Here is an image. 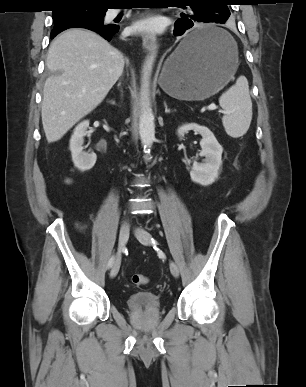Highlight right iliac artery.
Masks as SVG:
<instances>
[{
    "mask_svg": "<svg viewBox=\"0 0 306 387\" xmlns=\"http://www.w3.org/2000/svg\"><path fill=\"white\" fill-rule=\"evenodd\" d=\"M113 262H114V256L111 257V259H110V261L108 263V267H111Z\"/></svg>",
    "mask_w": 306,
    "mask_h": 387,
    "instance_id": "1",
    "label": "right iliac artery"
}]
</instances>
